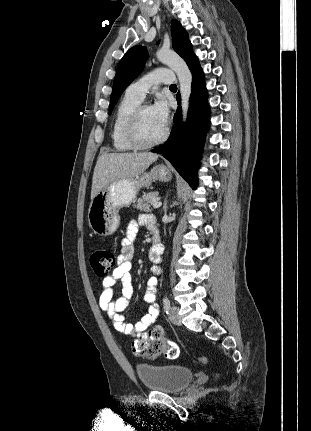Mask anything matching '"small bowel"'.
<instances>
[{"label": "small bowel", "instance_id": "c3829d8e", "mask_svg": "<svg viewBox=\"0 0 311 431\" xmlns=\"http://www.w3.org/2000/svg\"><path fill=\"white\" fill-rule=\"evenodd\" d=\"M141 225L147 226L151 232L154 229L158 230L153 216L149 214H140L137 220L132 221L128 225L126 235L121 242L118 266L113 271L112 275L106 277L102 282L99 295V306L101 310L109 316L113 327L118 332L128 336H136L138 339L148 338L163 341V329L156 325V320L159 315V307L156 303L157 279L155 277H151L147 281L143 295L145 302L149 305L148 313L136 324L128 323L123 314L133 295L131 275L134 255L133 241L138 232V228ZM161 253L155 256L151 253L150 249V259L154 263H158L160 261ZM153 271H158L157 267H153ZM117 282H119L120 285L121 295L114 299V289Z\"/></svg>", "mask_w": 311, "mask_h": 431}]
</instances>
